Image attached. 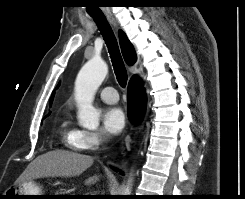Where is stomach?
I'll return each instance as SVG.
<instances>
[{"instance_id": "stomach-1", "label": "stomach", "mask_w": 245, "mask_h": 199, "mask_svg": "<svg viewBox=\"0 0 245 199\" xmlns=\"http://www.w3.org/2000/svg\"><path fill=\"white\" fill-rule=\"evenodd\" d=\"M10 195L13 199H38L39 196H15V195H44L39 186L33 182H23L17 187L10 188Z\"/></svg>"}]
</instances>
